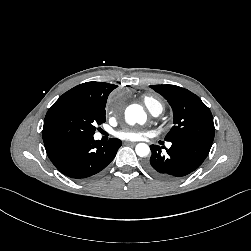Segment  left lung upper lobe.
Wrapping results in <instances>:
<instances>
[{
    "mask_svg": "<svg viewBox=\"0 0 251 251\" xmlns=\"http://www.w3.org/2000/svg\"><path fill=\"white\" fill-rule=\"evenodd\" d=\"M150 87L167 99L173 109L174 126L166 135V141L198 139L213 142L215 128L212 114L197 95L175 85Z\"/></svg>",
    "mask_w": 251,
    "mask_h": 251,
    "instance_id": "5c2ea615",
    "label": "left lung upper lobe"
}]
</instances>
